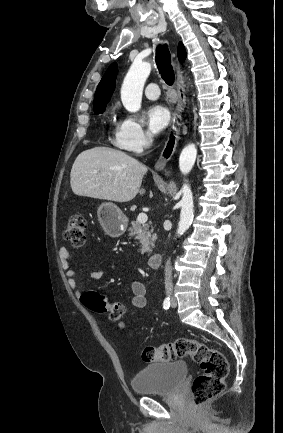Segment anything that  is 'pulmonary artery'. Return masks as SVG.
Masks as SVG:
<instances>
[{
  "label": "pulmonary artery",
  "instance_id": "e3ab8cb5",
  "mask_svg": "<svg viewBox=\"0 0 283 433\" xmlns=\"http://www.w3.org/2000/svg\"><path fill=\"white\" fill-rule=\"evenodd\" d=\"M156 86V83H147L145 85V95L148 99L155 100L159 97L160 90Z\"/></svg>",
  "mask_w": 283,
  "mask_h": 433
}]
</instances>
